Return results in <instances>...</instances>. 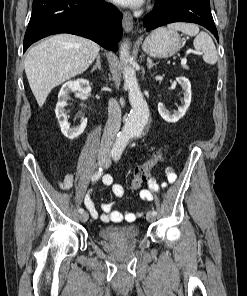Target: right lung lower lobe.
Returning <instances> with one entry per match:
<instances>
[{"instance_id":"obj_1","label":"right lung lower lobe","mask_w":247,"mask_h":296,"mask_svg":"<svg viewBox=\"0 0 247 296\" xmlns=\"http://www.w3.org/2000/svg\"><path fill=\"white\" fill-rule=\"evenodd\" d=\"M56 33L83 36L117 51L122 37V14L104 0H34L24 52L35 41Z\"/></svg>"}]
</instances>
